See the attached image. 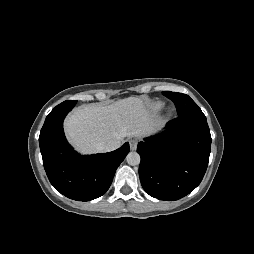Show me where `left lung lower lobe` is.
<instances>
[{
    "label": "left lung lower lobe",
    "mask_w": 254,
    "mask_h": 254,
    "mask_svg": "<svg viewBox=\"0 0 254 254\" xmlns=\"http://www.w3.org/2000/svg\"><path fill=\"white\" fill-rule=\"evenodd\" d=\"M211 135L206 117L179 116L166 131L139 142V176L144 190L160 200H178L192 192L206 172Z\"/></svg>",
    "instance_id": "left-lung-lower-lobe-1"
}]
</instances>
